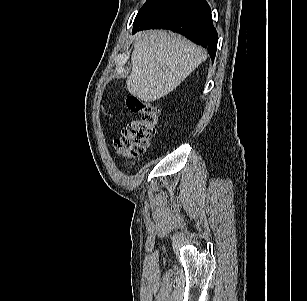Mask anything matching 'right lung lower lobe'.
Wrapping results in <instances>:
<instances>
[{
    "label": "right lung lower lobe",
    "mask_w": 307,
    "mask_h": 301,
    "mask_svg": "<svg viewBox=\"0 0 307 301\" xmlns=\"http://www.w3.org/2000/svg\"><path fill=\"white\" fill-rule=\"evenodd\" d=\"M169 29L208 49L214 61L218 35L211 10L205 0H167L160 7L134 22L133 32Z\"/></svg>",
    "instance_id": "obj_1"
}]
</instances>
